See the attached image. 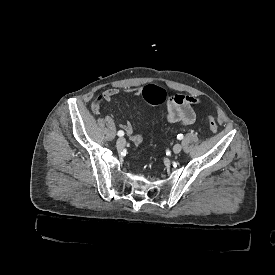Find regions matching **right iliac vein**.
Wrapping results in <instances>:
<instances>
[{
  "label": "right iliac vein",
  "instance_id": "right-iliac-vein-1",
  "mask_svg": "<svg viewBox=\"0 0 275 275\" xmlns=\"http://www.w3.org/2000/svg\"><path fill=\"white\" fill-rule=\"evenodd\" d=\"M126 145V140L124 138H119L116 142L118 149H122Z\"/></svg>",
  "mask_w": 275,
  "mask_h": 275
}]
</instances>
